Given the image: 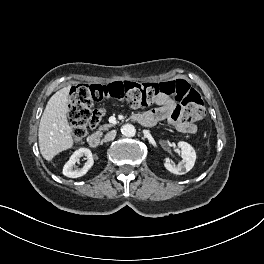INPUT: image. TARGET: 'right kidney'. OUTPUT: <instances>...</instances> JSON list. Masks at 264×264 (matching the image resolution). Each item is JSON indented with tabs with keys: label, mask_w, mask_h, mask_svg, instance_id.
I'll return each mask as SVG.
<instances>
[{
	"label": "right kidney",
	"mask_w": 264,
	"mask_h": 264,
	"mask_svg": "<svg viewBox=\"0 0 264 264\" xmlns=\"http://www.w3.org/2000/svg\"><path fill=\"white\" fill-rule=\"evenodd\" d=\"M85 156L87 161L83 168H76L75 164L79 162V158ZM94 163L92 152L88 148H79L76 150L63 167V175L69 178H78L87 173Z\"/></svg>",
	"instance_id": "1"
}]
</instances>
